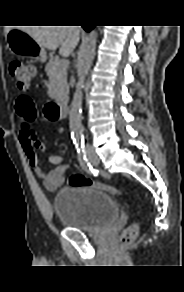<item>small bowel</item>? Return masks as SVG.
Returning a JSON list of instances; mask_svg holds the SVG:
<instances>
[{
	"label": "small bowel",
	"instance_id": "1",
	"mask_svg": "<svg viewBox=\"0 0 184 292\" xmlns=\"http://www.w3.org/2000/svg\"><path fill=\"white\" fill-rule=\"evenodd\" d=\"M18 137L29 166L43 181L44 186L50 191H54L61 187L65 181V175L69 168L66 157L62 155H50L48 160L54 167L50 170H45L39 163V153L45 150V145L37 139L33 127H25L20 123Z\"/></svg>",
	"mask_w": 184,
	"mask_h": 292
}]
</instances>
